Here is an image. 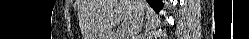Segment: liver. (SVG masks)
<instances>
[{
    "mask_svg": "<svg viewBox=\"0 0 249 39\" xmlns=\"http://www.w3.org/2000/svg\"><path fill=\"white\" fill-rule=\"evenodd\" d=\"M142 11L147 7L140 0ZM137 10L134 0H81L79 19L85 39H105L110 30L122 22L125 29L131 26Z\"/></svg>",
    "mask_w": 249,
    "mask_h": 39,
    "instance_id": "liver-1",
    "label": "liver"
}]
</instances>
